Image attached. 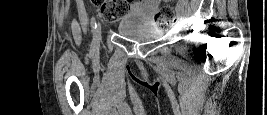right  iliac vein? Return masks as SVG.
I'll return each instance as SVG.
<instances>
[{
	"mask_svg": "<svg viewBox=\"0 0 267 115\" xmlns=\"http://www.w3.org/2000/svg\"><path fill=\"white\" fill-rule=\"evenodd\" d=\"M101 36V25L99 24L96 28V32H95V40H99Z\"/></svg>",
	"mask_w": 267,
	"mask_h": 115,
	"instance_id": "63e3f726",
	"label": "right iliac vein"
}]
</instances>
